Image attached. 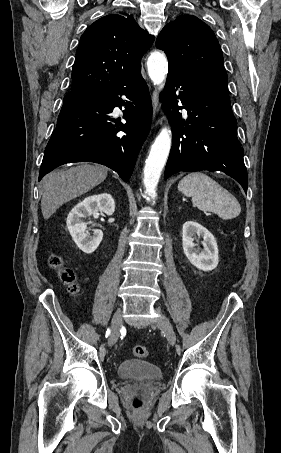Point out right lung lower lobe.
Here are the masks:
<instances>
[{
	"label": "right lung lower lobe",
	"instance_id": "right-lung-lower-lobe-1",
	"mask_svg": "<svg viewBox=\"0 0 281 453\" xmlns=\"http://www.w3.org/2000/svg\"><path fill=\"white\" fill-rule=\"evenodd\" d=\"M140 69L114 86L79 88L64 97L57 126L45 148L39 180L70 162L99 163L129 180L152 118L151 98ZM122 106L125 124L111 116L115 107Z\"/></svg>",
	"mask_w": 281,
	"mask_h": 453
}]
</instances>
